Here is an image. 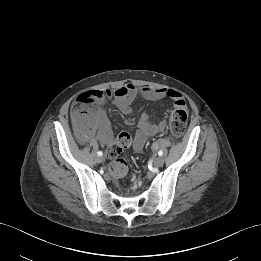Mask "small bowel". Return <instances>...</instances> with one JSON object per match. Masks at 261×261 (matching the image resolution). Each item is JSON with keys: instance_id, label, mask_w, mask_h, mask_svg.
<instances>
[{"instance_id": "c3829d8e", "label": "small bowel", "mask_w": 261, "mask_h": 261, "mask_svg": "<svg viewBox=\"0 0 261 261\" xmlns=\"http://www.w3.org/2000/svg\"><path fill=\"white\" fill-rule=\"evenodd\" d=\"M92 97L97 105L92 108V111L82 121L81 139L83 141H88L95 138L103 145L111 144L114 139L110 121L106 110L103 108L107 99H111L114 105L123 114L131 113L132 104L138 97L151 101L169 98L173 101L176 108H186L184 98L176 90L137 87L133 84H125L113 91L94 90L92 91ZM165 127L164 122L150 124L146 114H143L140 119L139 128L133 138V148L137 151L141 150L149 137L162 133L165 130Z\"/></svg>"}]
</instances>
